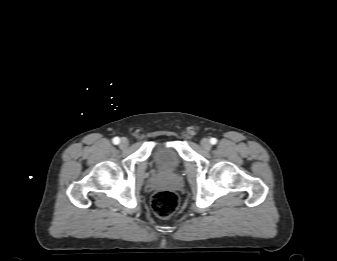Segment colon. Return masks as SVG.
Segmentation results:
<instances>
[{
  "label": "colon",
  "instance_id": "obj_1",
  "mask_svg": "<svg viewBox=\"0 0 337 261\" xmlns=\"http://www.w3.org/2000/svg\"><path fill=\"white\" fill-rule=\"evenodd\" d=\"M151 206L158 217L168 218L177 210L179 197L174 191L161 190L153 195Z\"/></svg>",
  "mask_w": 337,
  "mask_h": 261
}]
</instances>
